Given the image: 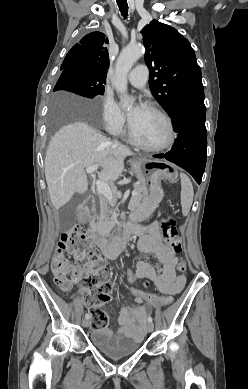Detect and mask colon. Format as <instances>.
Returning <instances> with one entry per match:
<instances>
[{"mask_svg":"<svg viewBox=\"0 0 248 389\" xmlns=\"http://www.w3.org/2000/svg\"><path fill=\"white\" fill-rule=\"evenodd\" d=\"M162 235L165 241L170 244L176 252L181 251V242L176 238V220L174 218L165 219L162 224ZM66 254L76 256L80 260H85L88 264L84 271L71 264ZM52 273L55 284L63 289L70 288L75 282L81 280L85 290L92 288L93 294L89 302L88 310L91 312L92 328L97 331L105 330L108 326L109 315L101 310L102 302L110 300V291L107 282L110 278V270L103 263L99 252L86 239L85 234L78 228L71 229L61 234L56 256L52 262ZM180 273L185 272L186 263L183 259L177 265ZM134 268L128 267L125 274L130 298H141L148 307H156L164 310L172 302L170 295L155 294V291H145L144 288H136Z\"/></svg>","mask_w":248,"mask_h":389,"instance_id":"obj_1","label":"colon"}]
</instances>
